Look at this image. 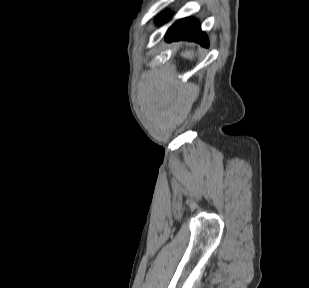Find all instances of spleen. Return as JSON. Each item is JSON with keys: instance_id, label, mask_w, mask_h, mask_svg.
I'll list each match as a JSON object with an SVG mask.
<instances>
[{"instance_id": "spleen-1", "label": "spleen", "mask_w": 309, "mask_h": 288, "mask_svg": "<svg viewBox=\"0 0 309 288\" xmlns=\"http://www.w3.org/2000/svg\"><path fill=\"white\" fill-rule=\"evenodd\" d=\"M182 57L186 59L192 60L194 58V52L193 51H185L181 54Z\"/></svg>"}]
</instances>
